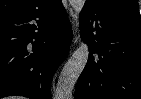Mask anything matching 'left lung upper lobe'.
Returning a JSON list of instances; mask_svg holds the SVG:
<instances>
[{
  "mask_svg": "<svg viewBox=\"0 0 141 99\" xmlns=\"http://www.w3.org/2000/svg\"><path fill=\"white\" fill-rule=\"evenodd\" d=\"M85 4L97 7L115 16L139 18L137 0H86Z\"/></svg>",
  "mask_w": 141,
  "mask_h": 99,
  "instance_id": "5c2ea615",
  "label": "left lung upper lobe"
}]
</instances>
